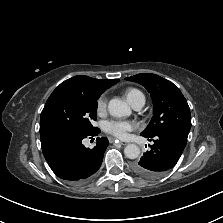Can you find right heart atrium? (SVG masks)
I'll list each match as a JSON object with an SVG mask.
<instances>
[{"label": "right heart atrium", "instance_id": "obj_1", "mask_svg": "<svg viewBox=\"0 0 223 223\" xmlns=\"http://www.w3.org/2000/svg\"><path fill=\"white\" fill-rule=\"evenodd\" d=\"M107 107V97L106 95H101L96 102V110L99 114L103 113Z\"/></svg>", "mask_w": 223, "mask_h": 223}]
</instances>
